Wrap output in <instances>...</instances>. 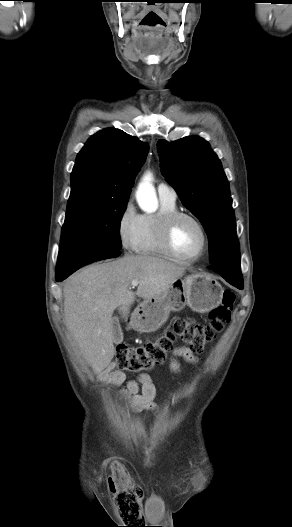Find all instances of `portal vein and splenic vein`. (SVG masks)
Wrapping results in <instances>:
<instances>
[{"label":"portal vein and splenic vein","mask_w":292,"mask_h":527,"mask_svg":"<svg viewBox=\"0 0 292 527\" xmlns=\"http://www.w3.org/2000/svg\"><path fill=\"white\" fill-rule=\"evenodd\" d=\"M138 284H139V281H138V280H133V281L131 282V286H132V287H136Z\"/></svg>","instance_id":"portal-vein-and-splenic-vein-1"}]
</instances>
